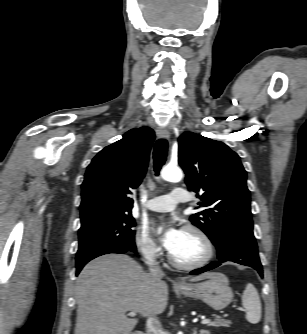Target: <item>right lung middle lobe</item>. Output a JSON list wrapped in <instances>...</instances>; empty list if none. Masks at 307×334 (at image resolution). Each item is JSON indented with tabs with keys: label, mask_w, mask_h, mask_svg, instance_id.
Returning <instances> with one entry per match:
<instances>
[{
	"label": "right lung middle lobe",
	"mask_w": 307,
	"mask_h": 334,
	"mask_svg": "<svg viewBox=\"0 0 307 334\" xmlns=\"http://www.w3.org/2000/svg\"><path fill=\"white\" fill-rule=\"evenodd\" d=\"M131 214L97 213L81 217L76 265L109 251L135 248Z\"/></svg>",
	"instance_id": "right-lung-middle-lobe-1"
}]
</instances>
